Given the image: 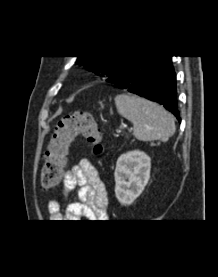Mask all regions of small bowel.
Instances as JSON below:
<instances>
[{"label": "small bowel", "mask_w": 218, "mask_h": 277, "mask_svg": "<svg viewBox=\"0 0 218 277\" xmlns=\"http://www.w3.org/2000/svg\"><path fill=\"white\" fill-rule=\"evenodd\" d=\"M78 187V200L69 203L65 210L57 200L48 203L50 218L59 220H103L106 217L107 190L93 163L82 158L68 170L63 178V193Z\"/></svg>", "instance_id": "1"}]
</instances>
